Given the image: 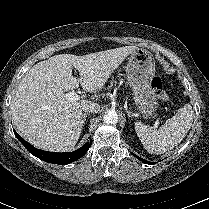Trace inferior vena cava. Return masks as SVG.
Instances as JSON below:
<instances>
[{
	"label": "inferior vena cava",
	"instance_id": "inferior-vena-cava-1",
	"mask_svg": "<svg viewBox=\"0 0 209 209\" xmlns=\"http://www.w3.org/2000/svg\"><path fill=\"white\" fill-rule=\"evenodd\" d=\"M82 110L85 113H98L100 106L97 103L87 102L83 105Z\"/></svg>",
	"mask_w": 209,
	"mask_h": 209
}]
</instances>
